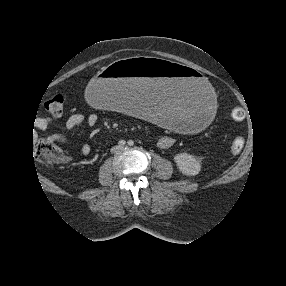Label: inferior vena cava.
Returning <instances> with one entry per match:
<instances>
[{
	"label": "inferior vena cava",
	"mask_w": 286,
	"mask_h": 286,
	"mask_svg": "<svg viewBox=\"0 0 286 286\" xmlns=\"http://www.w3.org/2000/svg\"><path fill=\"white\" fill-rule=\"evenodd\" d=\"M116 150H117V148L114 147L111 149V152H116Z\"/></svg>",
	"instance_id": "obj_1"
}]
</instances>
